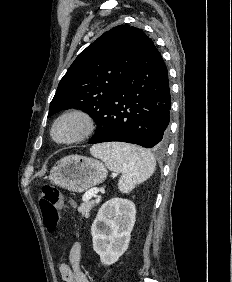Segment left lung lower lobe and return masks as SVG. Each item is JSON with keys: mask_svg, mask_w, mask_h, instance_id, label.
I'll use <instances>...</instances> for the list:
<instances>
[{"mask_svg": "<svg viewBox=\"0 0 232 282\" xmlns=\"http://www.w3.org/2000/svg\"><path fill=\"white\" fill-rule=\"evenodd\" d=\"M171 96L163 58L149 39L137 65L116 92L90 144L119 141L164 148Z\"/></svg>", "mask_w": 232, "mask_h": 282, "instance_id": "obj_1", "label": "left lung lower lobe"}]
</instances>
